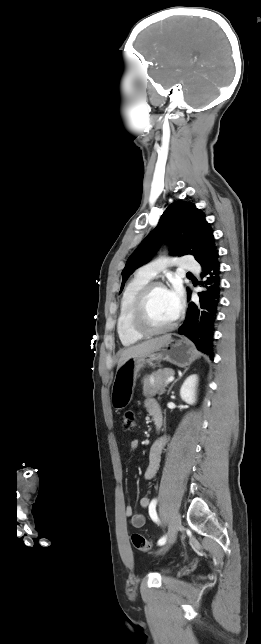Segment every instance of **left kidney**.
I'll list each match as a JSON object with an SVG mask.
<instances>
[{
  "label": "left kidney",
  "instance_id": "1",
  "mask_svg": "<svg viewBox=\"0 0 261 644\" xmlns=\"http://www.w3.org/2000/svg\"><path fill=\"white\" fill-rule=\"evenodd\" d=\"M197 383H198V376L196 374L190 375L184 381L180 389V396L184 402L191 405L195 404Z\"/></svg>",
  "mask_w": 261,
  "mask_h": 644
}]
</instances>
